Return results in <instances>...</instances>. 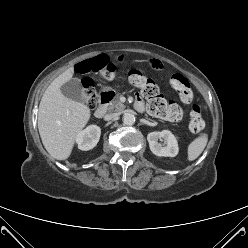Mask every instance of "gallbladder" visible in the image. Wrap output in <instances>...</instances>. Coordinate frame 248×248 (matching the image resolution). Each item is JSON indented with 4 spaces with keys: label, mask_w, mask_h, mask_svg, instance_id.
I'll return each mask as SVG.
<instances>
[{
    "label": "gallbladder",
    "mask_w": 248,
    "mask_h": 248,
    "mask_svg": "<svg viewBox=\"0 0 248 248\" xmlns=\"http://www.w3.org/2000/svg\"><path fill=\"white\" fill-rule=\"evenodd\" d=\"M60 90L65 97L71 100L82 103L85 102V98L83 96V88L78 78L70 79L61 86Z\"/></svg>",
    "instance_id": "gallbladder-1"
}]
</instances>
